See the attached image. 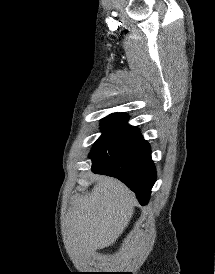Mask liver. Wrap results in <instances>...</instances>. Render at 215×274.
I'll return each instance as SVG.
<instances>
[{
	"label": "liver",
	"instance_id": "6515ba94",
	"mask_svg": "<svg viewBox=\"0 0 215 274\" xmlns=\"http://www.w3.org/2000/svg\"><path fill=\"white\" fill-rule=\"evenodd\" d=\"M134 194L117 179L99 176L91 194L72 201L67 223L73 251L90 254L113 244L134 213Z\"/></svg>",
	"mask_w": 215,
	"mask_h": 274
}]
</instances>
